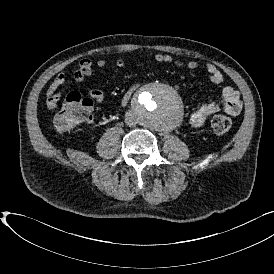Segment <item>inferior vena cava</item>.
I'll use <instances>...</instances> for the list:
<instances>
[{
    "instance_id": "inferior-vena-cava-1",
    "label": "inferior vena cava",
    "mask_w": 274,
    "mask_h": 274,
    "mask_svg": "<svg viewBox=\"0 0 274 274\" xmlns=\"http://www.w3.org/2000/svg\"><path fill=\"white\" fill-rule=\"evenodd\" d=\"M128 125L129 126H135V124H133L131 121H129Z\"/></svg>"
}]
</instances>
